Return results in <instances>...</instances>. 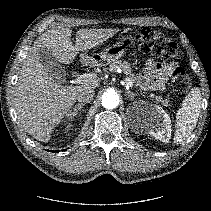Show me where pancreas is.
Here are the masks:
<instances>
[{"instance_id": "cf45deb5", "label": "pancreas", "mask_w": 211, "mask_h": 211, "mask_svg": "<svg viewBox=\"0 0 211 211\" xmlns=\"http://www.w3.org/2000/svg\"><path fill=\"white\" fill-rule=\"evenodd\" d=\"M122 69L123 73L133 82H136V77L132 72L131 65L126 61L116 60L110 64V70L116 71L117 69ZM151 98H155L157 102L163 103V105H168V99H163L161 96H155L154 94H150Z\"/></svg>"}]
</instances>
